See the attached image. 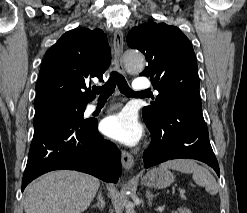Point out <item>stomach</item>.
Instances as JSON below:
<instances>
[{
  "mask_svg": "<svg viewBox=\"0 0 247 213\" xmlns=\"http://www.w3.org/2000/svg\"><path fill=\"white\" fill-rule=\"evenodd\" d=\"M174 181L173 174L167 169H150L142 178L143 185L153 188H165Z\"/></svg>",
  "mask_w": 247,
  "mask_h": 213,
  "instance_id": "stomach-1",
  "label": "stomach"
}]
</instances>
